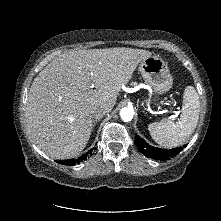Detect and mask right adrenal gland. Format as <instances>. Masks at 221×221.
<instances>
[{
	"label": "right adrenal gland",
	"instance_id": "obj_1",
	"mask_svg": "<svg viewBox=\"0 0 221 221\" xmlns=\"http://www.w3.org/2000/svg\"><path fill=\"white\" fill-rule=\"evenodd\" d=\"M98 120H99V119H94V120H93V122H92V129L95 127V125H96V123H97Z\"/></svg>",
	"mask_w": 221,
	"mask_h": 221
}]
</instances>
